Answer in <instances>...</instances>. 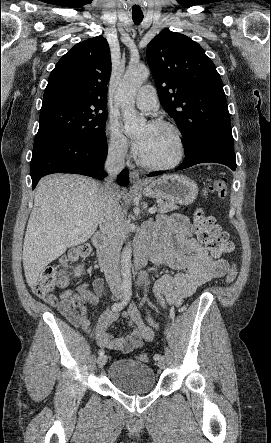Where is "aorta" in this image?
Returning a JSON list of instances; mask_svg holds the SVG:
<instances>
[{
  "instance_id": "762f6f07",
  "label": "aorta",
  "mask_w": 271,
  "mask_h": 443,
  "mask_svg": "<svg viewBox=\"0 0 271 443\" xmlns=\"http://www.w3.org/2000/svg\"><path fill=\"white\" fill-rule=\"evenodd\" d=\"M149 70L146 66H130L120 82L116 94V100L121 108L124 128L128 134L139 132L145 126L147 120L142 114H137L134 104L136 94L143 82L149 78ZM131 241L123 247L121 253V273L124 281H131Z\"/></svg>"
}]
</instances>
